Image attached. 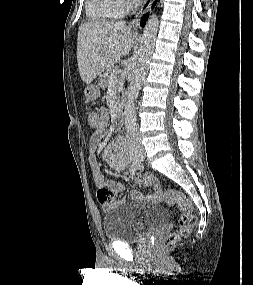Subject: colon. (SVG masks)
<instances>
[{"label":"colon","instance_id":"colon-1","mask_svg":"<svg viewBox=\"0 0 253 285\" xmlns=\"http://www.w3.org/2000/svg\"><path fill=\"white\" fill-rule=\"evenodd\" d=\"M88 121L90 126L94 128L102 124L99 114L93 112L88 114ZM97 196L101 203H109L115 198V192L110 188L104 187L99 189ZM164 199L168 205H177L180 210L178 229L170 233L164 240V246L170 248L173 247L181 237H185L192 232L196 224V216L191 201L183 192L176 189H169L165 192Z\"/></svg>","mask_w":253,"mask_h":285}]
</instances>
